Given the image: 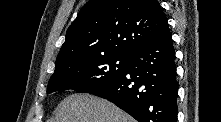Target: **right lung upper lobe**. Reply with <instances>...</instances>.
<instances>
[{"label": "right lung upper lobe", "mask_w": 221, "mask_h": 122, "mask_svg": "<svg viewBox=\"0 0 221 122\" xmlns=\"http://www.w3.org/2000/svg\"><path fill=\"white\" fill-rule=\"evenodd\" d=\"M167 25L157 0H90L67 30L52 76L101 56H132Z\"/></svg>", "instance_id": "obj_1"}]
</instances>
